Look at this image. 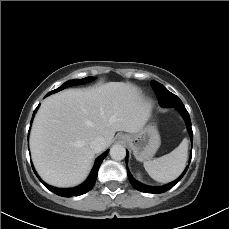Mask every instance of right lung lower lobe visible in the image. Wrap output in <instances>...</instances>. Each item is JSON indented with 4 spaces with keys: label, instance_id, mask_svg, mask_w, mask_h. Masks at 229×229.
Returning a JSON list of instances; mask_svg holds the SVG:
<instances>
[{
    "label": "right lung lower lobe",
    "instance_id": "obj_1",
    "mask_svg": "<svg viewBox=\"0 0 229 229\" xmlns=\"http://www.w3.org/2000/svg\"><path fill=\"white\" fill-rule=\"evenodd\" d=\"M48 96V94L46 95ZM38 109V107L36 108V110ZM36 110L34 111V113L36 112ZM34 116V115H33ZM32 122V120H31ZM109 151V150H108ZM108 151H106L104 154H102L101 156H99L95 162V165L89 175V177L87 178V180L75 187V188H70V189H59V188H55V187H52L50 185H47L46 183H44L40 178L39 176L36 174V176L38 177V179L44 184V186L49 189L50 191H52L53 193L59 195V196H62V197H72V196H79V195H82V194H85L86 192L90 191L94 184H95V181H96V178H97V174H98V169L103 161V159L107 156L108 154ZM34 170V168H33Z\"/></svg>",
    "mask_w": 229,
    "mask_h": 229
}]
</instances>
